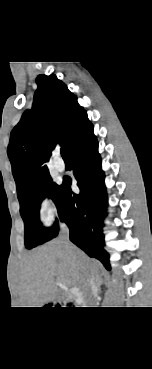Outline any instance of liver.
Listing matches in <instances>:
<instances>
[{
  "label": "liver",
  "mask_w": 152,
  "mask_h": 369,
  "mask_svg": "<svg viewBox=\"0 0 152 369\" xmlns=\"http://www.w3.org/2000/svg\"><path fill=\"white\" fill-rule=\"evenodd\" d=\"M74 247V246H73ZM69 253L58 239L37 248L23 262L20 276L22 307H44L58 293L56 280L67 287H81L86 274L98 273V262L74 247Z\"/></svg>",
  "instance_id": "1"
}]
</instances>
